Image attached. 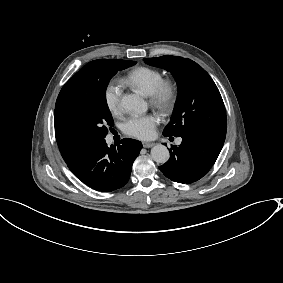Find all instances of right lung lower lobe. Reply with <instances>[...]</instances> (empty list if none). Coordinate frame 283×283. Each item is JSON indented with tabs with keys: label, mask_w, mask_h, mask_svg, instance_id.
<instances>
[{
	"label": "right lung lower lobe",
	"mask_w": 283,
	"mask_h": 283,
	"mask_svg": "<svg viewBox=\"0 0 283 283\" xmlns=\"http://www.w3.org/2000/svg\"><path fill=\"white\" fill-rule=\"evenodd\" d=\"M120 143L117 147H108L105 139L94 141L67 166L77 178L97 191L119 189L128 182L132 164L142 149L137 140L125 138Z\"/></svg>",
	"instance_id": "1"
}]
</instances>
